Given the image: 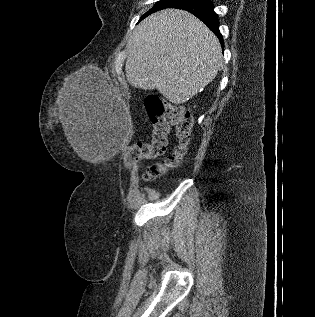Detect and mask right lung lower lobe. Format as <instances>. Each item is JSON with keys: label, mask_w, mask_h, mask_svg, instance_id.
<instances>
[{"label": "right lung lower lobe", "mask_w": 315, "mask_h": 317, "mask_svg": "<svg viewBox=\"0 0 315 317\" xmlns=\"http://www.w3.org/2000/svg\"><path fill=\"white\" fill-rule=\"evenodd\" d=\"M167 8H178L191 12L203 21L219 38L223 45L222 35L219 32L217 14L213 11L214 5L208 0H181Z\"/></svg>", "instance_id": "obj_1"}]
</instances>
